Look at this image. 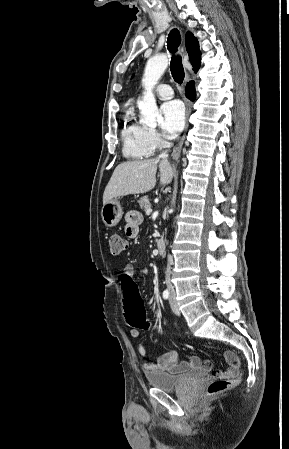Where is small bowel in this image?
<instances>
[{
  "label": "small bowel",
  "instance_id": "obj_1",
  "mask_svg": "<svg viewBox=\"0 0 289 449\" xmlns=\"http://www.w3.org/2000/svg\"><path fill=\"white\" fill-rule=\"evenodd\" d=\"M141 215L136 211H130L125 216L124 233L128 238H136L139 233V224L141 222ZM123 271H127L130 276L134 275V267L132 265L125 266ZM140 332L138 329L131 330V336L133 338H139ZM138 352L144 359L142 368L147 374L154 373H181L189 369H205L212 370L213 365L210 361L202 363L200 358L196 356L190 357L188 360L178 362V354L174 350H170L160 357L156 361H151L147 358V351L143 342H138ZM224 358L228 364L226 370H216L217 375L225 378H234L239 375L240 372V359L233 351H226Z\"/></svg>",
  "mask_w": 289,
  "mask_h": 449
}]
</instances>
